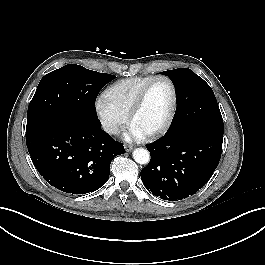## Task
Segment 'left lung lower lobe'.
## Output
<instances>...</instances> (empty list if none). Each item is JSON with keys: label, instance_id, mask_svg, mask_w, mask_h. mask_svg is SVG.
Returning <instances> with one entry per match:
<instances>
[{"label": "left lung lower lobe", "instance_id": "1", "mask_svg": "<svg viewBox=\"0 0 265 265\" xmlns=\"http://www.w3.org/2000/svg\"><path fill=\"white\" fill-rule=\"evenodd\" d=\"M223 133L202 127L168 131L146 145L151 154L142 169L149 192L168 201L196 193L212 176L221 157Z\"/></svg>", "mask_w": 265, "mask_h": 265}]
</instances>
